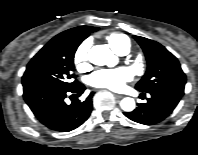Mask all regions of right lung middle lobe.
<instances>
[{
  "mask_svg": "<svg viewBox=\"0 0 198 155\" xmlns=\"http://www.w3.org/2000/svg\"><path fill=\"white\" fill-rule=\"evenodd\" d=\"M87 36H74L49 41L29 62L22 77L23 86L30 84H52L65 88L78 81L75 76L74 54Z\"/></svg>",
  "mask_w": 198,
  "mask_h": 155,
  "instance_id": "1",
  "label": "right lung middle lobe"
}]
</instances>
